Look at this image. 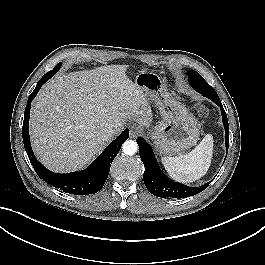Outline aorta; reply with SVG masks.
<instances>
[{
	"label": "aorta",
	"mask_w": 265,
	"mask_h": 265,
	"mask_svg": "<svg viewBox=\"0 0 265 265\" xmlns=\"http://www.w3.org/2000/svg\"><path fill=\"white\" fill-rule=\"evenodd\" d=\"M122 150L126 155H134L138 150V144L134 140H127L123 143Z\"/></svg>",
	"instance_id": "aorta-1"
}]
</instances>
